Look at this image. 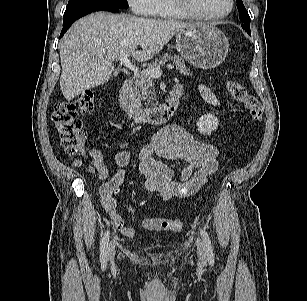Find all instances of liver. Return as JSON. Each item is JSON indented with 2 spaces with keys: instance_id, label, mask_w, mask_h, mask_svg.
<instances>
[{
  "instance_id": "liver-1",
  "label": "liver",
  "mask_w": 307,
  "mask_h": 301,
  "mask_svg": "<svg viewBox=\"0 0 307 301\" xmlns=\"http://www.w3.org/2000/svg\"><path fill=\"white\" fill-rule=\"evenodd\" d=\"M192 24L141 18L130 14L95 13L76 21L60 44V88L67 101L106 83L113 62L123 54L150 60L174 35ZM140 46L141 50H137Z\"/></svg>"
}]
</instances>
